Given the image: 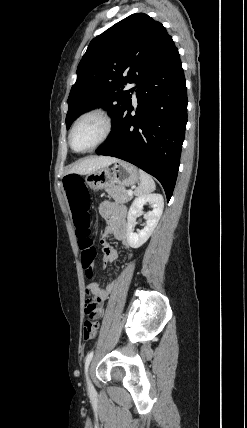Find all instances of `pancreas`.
I'll use <instances>...</instances> for the list:
<instances>
[{"mask_svg":"<svg viewBox=\"0 0 247 428\" xmlns=\"http://www.w3.org/2000/svg\"><path fill=\"white\" fill-rule=\"evenodd\" d=\"M106 192L118 203H127L132 199V196L128 195L124 186H112L107 188Z\"/></svg>","mask_w":247,"mask_h":428,"instance_id":"cf45deb5","label":"pancreas"}]
</instances>
